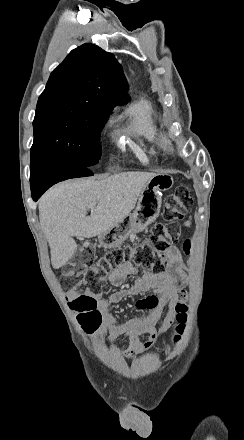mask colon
<instances>
[{"label": "colon", "instance_id": "1", "mask_svg": "<svg viewBox=\"0 0 244 440\" xmlns=\"http://www.w3.org/2000/svg\"><path fill=\"white\" fill-rule=\"evenodd\" d=\"M192 198L186 188H179L174 195L165 200L162 215L163 222L156 225L150 235L149 243L115 249L107 253L100 262L95 260V247L91 241H85L82 251L78 253V259L83 262H64V275L59 276V283L68 294H78L72 300L70 310L78 313L81 319H100L101 311L95 310L98 305L97 298L92 294H99L103 282L104 273L110 268L120 265L125 261H131L136 265L143 266L146 270L161 272L164 270V259L170 245L178 241L180 236L181 220L190 212ZM182 250L186 256L192 252L191 240H186ZM96 266V271L92 270ZM82 271H87L85 276ZM187 294H179L178 301L174 306L177 325L173 335V342L178 343L186 330L188 321L189 305L186 303Z\"/></svg>", "mask_w": 244, "mask_h": 440}]
</instances>
